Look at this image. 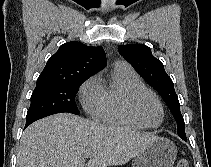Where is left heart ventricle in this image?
<instances>
[{
  "label": "left heart ventricle",
  "mask_w": 211,
  "mask_h": 167,
  "mask_svg": "<svg viewBox=\"0 0 211 167\" xmlns=\"http://www.w3.org/2000/svg\"><path fill=\"white\" fill-rule=\"evenodd\" d=\"M135 110L140 119L148 125H156L161 120L159 105L156 100L147 93H143L137 97Z\"/></svg>",
  "instance_id": "1"
}]
</instances>
